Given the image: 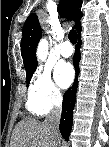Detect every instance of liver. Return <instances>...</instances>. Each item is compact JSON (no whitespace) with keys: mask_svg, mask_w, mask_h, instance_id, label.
<instances>
[{"mask_svg":"<svg viewBox=\"0 0 109 147\" xmlns=\"http://www.w3.org/2000/svg\"><path fill=\"white\" fill-rule=\"evenodd\" d=\"M10 147H53L48 126L31 118L21 120L13 130Z\"/></svg>","mask_w":109,"mask_h":147,"instance_id":"1","label":"liver"}]
</instances>
